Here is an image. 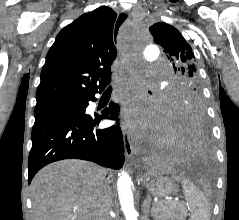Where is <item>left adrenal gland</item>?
Segmentation results:
<instances>
[{
	"label": "left adrenal gland",
	"mask_w": 239,
	"mask_h": 220,
	"mask_svg": "<svg viewBox=\"0 0 239 220\" xmlns=\"http://www.w3.org/2000/svg\"><path fill=\"white\" fill-rule=\"evenodd\" d=\"M151 198L148 195L142 204V212L145 216H148L150 213Z\"/></svg>",
	"instance_id": "1"
}]
</instances>
